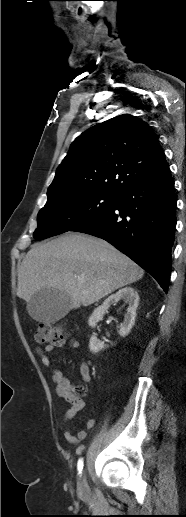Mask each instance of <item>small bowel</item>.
<instances>
[{
  "mask_svg": "<svg viewBox=\"0 0 186 517\" xmlns=\"http://www.w3.org/2000/svg\"><path fill=\"white\" fill-rule=\"evenodd\" d=\"M65 342L72 349H78L80 347V343L74 337H68L65 340L58 342L59 345H63ZM54 349L53 345H48L45 348L36 347L35 352L38 358L41 360L42 364L45 367L50 366L49 353ZM80 374L85 382H89L91 379L90 367L86 361H82L80 364ZM52 379L55 383V391L56 394L67 400L71 406L65 411L63 419L65 422L72 420L76 414L81 411L85 403L82 399L75 396V392L77 390V386L71 383L66 377H64L63 373L58 369L52 370ZM96 424L94 419H89L86 422L85 428L78 431L77 435H74L71 430H66L64 432V438L71 444H77L79 441L84 440L87 437L88 430L92 429Z\"/></svg>",
  "mask_w": 186,
  "mask_h": 517,
  "instance_id": "obj_1",
  "label": "small bowel"
}]
</instances>
